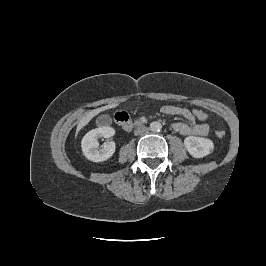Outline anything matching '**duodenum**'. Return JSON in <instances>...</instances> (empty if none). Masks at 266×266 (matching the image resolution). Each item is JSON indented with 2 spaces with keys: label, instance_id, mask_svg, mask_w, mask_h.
Returning a JSON list of instances; mask_svg holds the SVG:
<instances>
[{
  "label": "duodenum",
  "instance_id": "duodenum-1",
  "mask_svg": "<svg viewBox=\"0 0 266 266\" xmlns=\"http://www.w3.org/2000/svg\"><path fill=\"white\" fill-rule=\"evenodd\" d=\"M116 123L125 131H131L132 129L141 125L139 121L131 120L126 116L116 117Z\"/></svg>",
  "mask_w": 266,
  "mask_h": 266
}]
</instances>
